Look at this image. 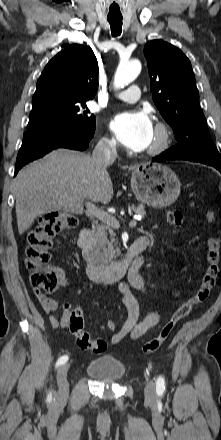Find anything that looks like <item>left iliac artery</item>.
Here are the masks:
<instances>
[{"mask_svg":"<svg viewBox=\"0 0 221 440\" xmlns=\"http://www.w3.org/2000/svg\"><path fill=\"white\" fill-rule=\"evenodd\" d=\"M156 391L158 394H163L165 391V380L162 376H159L156 381Z\"/></svg>","mask_w":221,"mask_h":440,"instance_id":"obj_1","label":"left iliac artery"}]
</instances>
